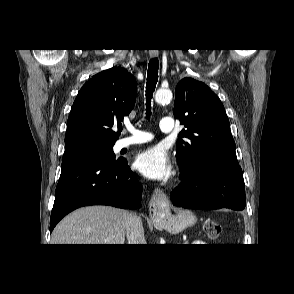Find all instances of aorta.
Here are the masks:
<instances>
[{"instance_id":"762f6f07","label":"aorta","mask_w":294,"mask_h":294,"mask_svg":"<svg viewBox=\"0 0 294 294\" xmlns=\"http://www.w3.org/2000/svg\"><path fill=\"white\" fill-rule=\"evenodd\" d=\"M172 100V92L169 89H159L155 94V101L158 104H167Z\"/></svg>"}]
</instances>
